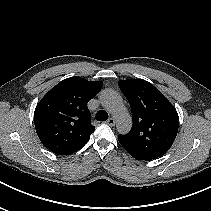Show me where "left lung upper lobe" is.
Returning <instances> with one entry per match:
<instances>
[{
	"mask_svg": "<svg viewBox=\"0 0 211 211\" xmlns=\"http://www.w3.org/2000/svg\"><path fill=\"white\" fill-rule=\"evenodd\" d=\"M118 85L130 103L133 125L118 139L133 157L154 159L172 146L179 127L176 109L151 83L141 79L121 80Z\"/></svg>",
	"mask_w": 211,
	"mask_h": 211,
	"instance_id": "1",
	"label": "left lung upper lobe"
}]
</instances>
